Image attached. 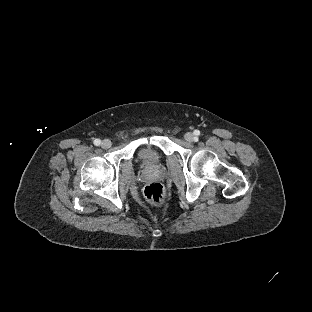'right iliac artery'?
<instances>
[{"instance_id":"obj_1","label":"right iliac artery","mask_w":312,"mask_h":312,"mask_svg":"<svg viewBox=\"0 0 312 312\" xmlns=\"http://www.w3.org/2000/svg\"><path fill=\"white\" fill-rule=\"evenodd\" d=\"M100 143H101L100 139H95V140H94V144H95L96 146H99Z\"/></svg>"}]
</instances>
